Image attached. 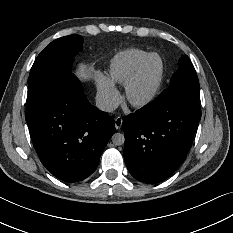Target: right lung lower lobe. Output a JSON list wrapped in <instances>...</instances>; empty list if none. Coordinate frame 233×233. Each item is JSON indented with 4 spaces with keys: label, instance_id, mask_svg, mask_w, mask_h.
I'll use <instances>...</instances> for the list:
<instances>
[{
    "label": "right lung lower lobe",
    "instance_id": "1",
    "mask_svg": "<svg viewBox=\"0 0 233 233\" xmlns=\"http://www.w3.org/2000/svg\"><path fill=\"white\" fill-rule=\"evenodd\" d=\"M113 119L90 105L75 77L65 80L52 96L26 114L42 164L68 183L95 171L114 132Z\"/></svg>",
    "mask_w": 233,
    "mask_h": 233
}]
</instances>
